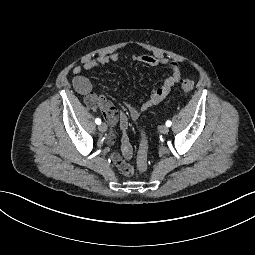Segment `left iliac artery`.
I'll return each instance as SVG.
<instances>
[{
  "label": "left iliac artery",
  "instance_id": "44dca946",
  "mask_svg": "<svg viewBox=\"0 0 255 255\" xmlns=\"http://www.w3.org/2000/svg\"><path fill=\"white\" fill-rule=\"evenodd\" d=\"M166 126H168V127L171 126V121L168 120V121L166 122Z\"/></svg>",
  "mask_w": 255,
  "mask_h": 255
}]
</instances>
